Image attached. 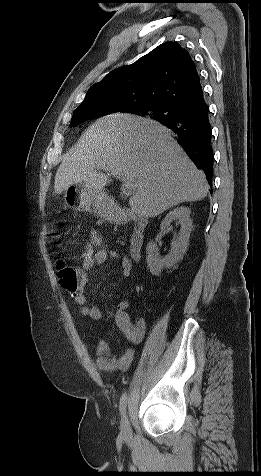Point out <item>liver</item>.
I'll use <instances>...</instances> for the list:
<instances>
[{"label": "liver", "mask_w": 261, "mask_h": 476, "mask_svg": "<svg viewBox=\"0 0 261 476\" xmlns=\"http://www.w3.org/2000/svg\"><path fill=\"white\" fill-rule=\"evenodd\" d=\"M100 170L132 180L131 211L146 218L182 202L201 200L209 190L203 171L165 126L131 114L104 116L85 130L63 157L55 175V193L78 183L103 190L111 180Z\"/></svg>", "instance_id": "obj_1"}]
</instances>
